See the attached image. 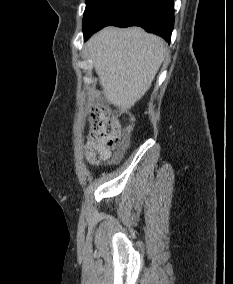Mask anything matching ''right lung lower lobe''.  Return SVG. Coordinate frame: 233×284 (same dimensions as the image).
Returning <instances> with one entry per match:
<instances>
[{"label":"right lung lower lobe","instance_id":"1","mask_svg":"<svg viewBox=\"0 0 233 284\" xmlns=\"http://www.w3.org/2000/svg\"><path fill=\"white\" fill-rule=\"evenodd\" d=\"M139 26L170 42L174 26L173 0H111L84 28V38L105 26Z\"/></svg>","mask_w":233,"mask_h":284}]
</instances>
